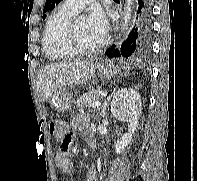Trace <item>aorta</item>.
<instances>
[{"label": "aorta", "mask_w": 197, "mask_h": 181, "mask_svg": "<svg viewBox=\"0 0 197 181\" xmlns=\"http://www.w3.org/2000/svg\"><path fill=\"white\" fill-rule=\"evenodd\" d=\"M133 2H134V0H126L125 13H124V17H123V23L121 26V31L124 36L128 33L129 22H130L131 15H132Z\"/></svg>", "instance_id": "obj_1"}]
</instances>
